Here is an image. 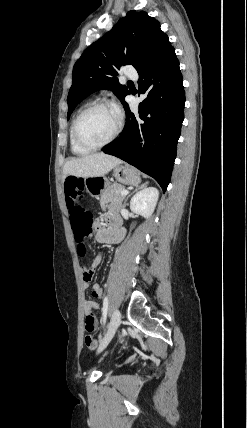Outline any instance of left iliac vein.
Masks as SVG:
<instances>
[{"instance_id":"left-iliac-vein-1","label":"left iliac vein","mask_w":247,"mask_h":428,"mask_svg":"<svg viewBox=\"0 0 247 428\" xmlns=\"http://www.w3.org/2000/svg\"><path fill=\"white\" fill-rule=\"evenodd\" d=\"M121 323V313L118 309H115L108 330L104 336V338L101 340L99 348H98V352H101L111 341V339L113 338L117 328L119 327Z\"/></svg>"}]
</instances>
